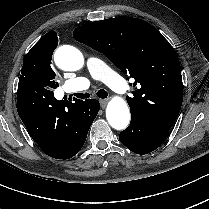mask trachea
<instances>
[{"instance_id": "3493384b", "label": "trachea", "mask_w": 209, "mask_h": 209, "mask_svg": "<svg viewBox=\"0 0 209 209\" xmlns=\"http://www.w3.org/2000/svg\"><path fill=\"white\" fill-rule=\"evenodd\" d=\"M90 95L92 94L91 93H78L79 98H88ZM96 95L99 98H106L108 96V93L104 89H100L97 91Z\"/></svg>"}]
</instances>
